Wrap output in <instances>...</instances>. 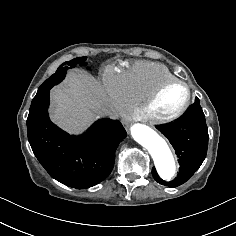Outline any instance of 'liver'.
I'll list each match as a JSON object with an SVG mask.
<instances>
[{
    "instance_id": "6515ba94",
    "label": "liver",
    "mask_w": 236,
    "mask_h": 236,
    "mask_svg": "<svg viewBox=\"0 0 236 236\" xmlns=\"http://www.w3.org/2000/svg\"><path fill=\"white\" fill-rule=\"evenodd\" d=\"M107 102L104 87L92 75L70 70L66 79L51 90L50 118L63 130L81 133Z\"/></svg>"
}]
</instances>
